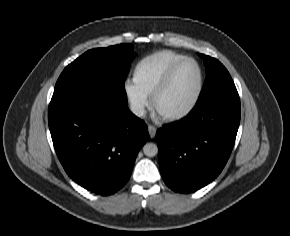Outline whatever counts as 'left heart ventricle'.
<instances>
[{
  "label": "left heart ventricle",
  "mask_w": 290,
  "mask_h": 236,
  "mask_svg": "<svg viewBox=\"0 0 290 236\" xmlns=\"http://www.w3.org/2000/svg\"><path fill=\"white\" fill-rule=\"evenodd\" d=\"M197 87V70L190 63H184L175 72L169 86L157 97L159 112H176L188 105Z\"/></svg>",
  "instance_id": "1"
}]
</instances>
